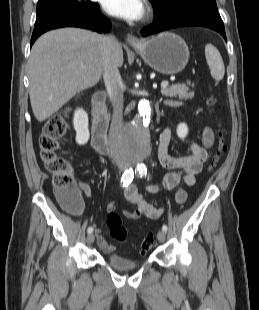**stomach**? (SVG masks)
Returning a JSON list of instances; mask_svg holds the SVG:
<instances>
[{"mask_svg": "<svg viewBox=\"0 0 259 310\" xmlns=\"http://www.w3.org/2000/svg\"><path fill=\"white\" fill-rule=\"evenodd\" d=\"M135 50L152 69L166 75L181 72L189 60L185 41L169 32L140 43Z\"/></svg>", "mask_w": 259, "mask_h": 310, "instance_id": "1", "label": "stomach"}]
</instances>
